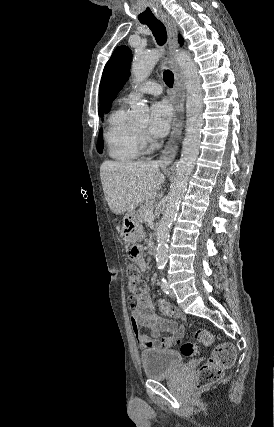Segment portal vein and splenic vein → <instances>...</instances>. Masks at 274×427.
Returning a JSON list of instances; mask_svg holds the SVG:
<instances>
[{
    "label": "portal vein and splenic vein",
    "instance_id": "portal-vein-and-splenic-vein-1",
    "mask_svg": "<svg viewBox=\"0 0 274 427\" xmlns=\"http://www.w3.org/2000/svg\"><path fill=\"white\" fill-rule=\"evenodd\" d=\"M155 215L153 214V210H150V212H146L145 219L146 221H150V219H154Z\"/></svg>",
    "mask_w": 274,
    "mask_h": 427
}]
</instances>
